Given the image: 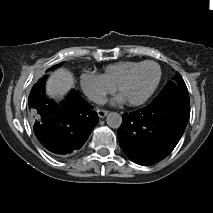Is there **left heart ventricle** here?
I'll return each instance as SVG.
<instances>
[{"instance_id": "1", "label": "left heart ventricle", "mask_w": 213, "mask_h": 213, "mask_svg": "<svg viewBox=\"0 0 213 213\" xmlns=\"http://www.w3.org/2000/svg\"><path fill=\"white\" fill-rule=\"evenodd\" d=\"M157 77V69L152 65H145L138 69L129 81L124 84L120 94L126 101H136L146 96L152 89Z\"/></svg>"}]
</instances>
